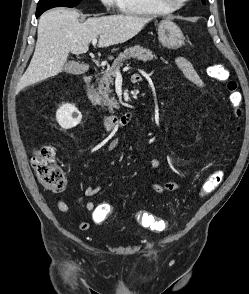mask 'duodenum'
Returning a JSON list of instances; mask_svg holds the SVG:
<instances>
[{
	"instance_id": "1",
	"label": "duodenum",
	"mask_w": 249,
	"mask_h": 294,
	"mask_svg": "<svg viewBox=\"0 0 249 294\" xmlns=\"http://www.w3.org/2000/svg\"><path fill=\"white\" fill-rule=\"evenodd\" d=\"M92 75L85 74L82 76V86L84 90L85 97L87 101L93 107H100V101L96 94L94 93L92 86H91ZM134 81L139 82L141 81V76L139 74H135ZM133 118L132 113H127L122 116L116 115H106L104 116V126L107 131H114L125 127Z\"/></svg>"
}]
</instances>
